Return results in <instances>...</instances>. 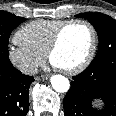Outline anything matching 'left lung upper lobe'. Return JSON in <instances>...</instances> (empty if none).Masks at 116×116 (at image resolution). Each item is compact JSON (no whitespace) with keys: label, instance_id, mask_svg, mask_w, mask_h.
Here are the masks:
<instances>
[{"label":"left lung upper lobe","instance_id":"5c2ea615","mask_svg":"<svg viewBox=\"0 0 116 116\" xmlns=\"http://www.w3.org/2000/svg\"><path fill=\"white\" fill-rule=\"evenodd\" d=\"M76 17L87 19L94 26L99 37L98 52L91 63L114 61L116 58V21L100 12H86Z\"/></svg>","mask_w":116,"mask_h":116}]
</instances>
